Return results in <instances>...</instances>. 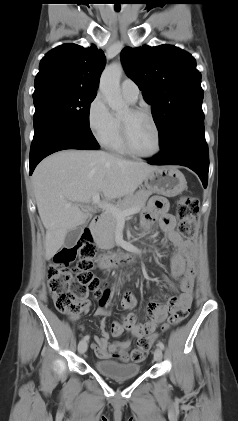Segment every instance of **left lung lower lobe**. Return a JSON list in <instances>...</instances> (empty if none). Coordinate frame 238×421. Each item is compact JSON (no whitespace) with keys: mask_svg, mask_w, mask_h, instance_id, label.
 Wrapping results in <instances>:
<instances>
[{"mask_svg":"<svg viewBox=\"0 0 238 421\" xmlns=\"http://www.w3.org/2000/svg\"><path fill=\"white\" fill-rule=\"evenodd\" d=\"M160 147L161 152L150 160L151 165L186 166L198 174L206 188L209 155L204 137V119L186 123Z\"/></svg>","mask_w":238,"mask_h":421,"instance_id":"left-lung-lower-lobe-1","label":"left lung lower lobe"}]
</instances>
